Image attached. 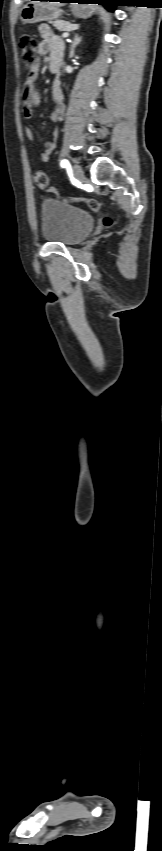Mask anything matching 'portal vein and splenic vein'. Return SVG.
Segmentation results:
<instances>
[{
	"mask_svg": "<svg viewBox=\"0 0 162 851\" xmlns=\"http://www.w3.org/2000/svg\"><path fill=\"white\" fill-rule=\"evenodd\" d=\"M68 36H69V33H63V35H62L63 38H67Z\"/></svg>",
	"mask_w": 162,
	"mask_h": 851,
	"instance_id": "18ae733b",
	"label": "portal vein and splenic vein"
}]
</instances>
